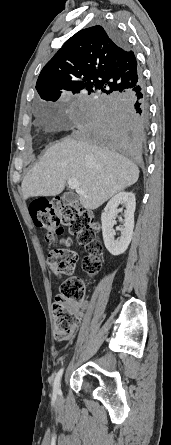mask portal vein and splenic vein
Segmentation results:
<instances>
[{"label":"portal vein and splenic vein","instance_id":"1","mask_svg":"<svg viewBox=\"0 0 171 445\" xmlns=\"http://www.w3.org/2000/svg\"><path fill=\"white\" fill-rule=\"evenodd\" d=\"M67 182L71 188L75 189L77 194L82 195L84 193V190L80 188L79 182L75 178H69Z\"/></svg>","mask_w":171,"mask_h":445}]
</instances>
